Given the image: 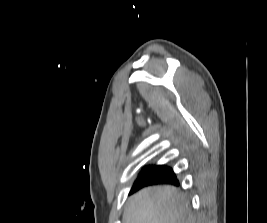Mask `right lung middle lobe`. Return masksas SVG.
Listing matches in <instances>:
<instances>
[{
	"label": "right lung middle lobe",
	"mask_w": 267,
	"mask_h": 223,
	"mask_svg": "<svg viewBox=\"0 0 267 223\" xmlns=\"http://www.w3.org/2000/svg\"><path fill=\"white\" fill-rule=\"evenodd\" d=\"M161 172V173H171L172 169L166 166H152V167H145L142 172Z\"/></svg>",
	"instance_id": "1"
}]
</instances>
